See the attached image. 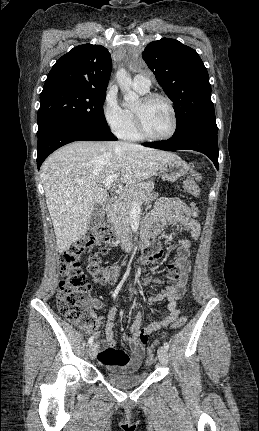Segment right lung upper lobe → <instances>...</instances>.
Here are the masks:
<instances>
[{
  "instance_id": "obj_1",
  "label": "right lung upper lobe",
  "mask_w": 259,
  "mask_h": 431,
  "mask_svg": "<svg viewBox=\"0 0 259 431\" xmlns=\"http://www.w3.org/2000/svg\"><path fill=\"white\" fill-rule=\"evenodd\" d=\"M111 71V56L105 47L79 45L57 60L42 92L57 86L106 91Z\"/></svg>"
}]
</instances>
